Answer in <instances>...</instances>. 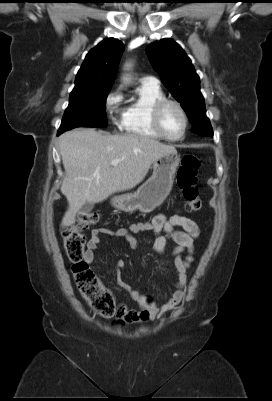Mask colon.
I'll return each mask as SVG.
<instances>
[{"mask_svg": "<svg viewBox=\"0 0 272 401\" xmlns=\"http://www.w3.org/2000/svg\"><path fill=\"white\" fill-rule=\"evenodd\" d=\"M199 167V157L194 154H188L183 157L177 171V184L185 198V207L190 212L199 211L202 206L197 188ZM99 221L100 214L97 212L80 214L64 230V249L68 259L73 264L72 272L82 296L99 315L103 317H119L122 313L121 306L116 304L113 293L101 284L84 260L86 239L83 232L98 224Z\"/></svg>", "mask_w": 272, "mask_h": 401, "instance_id": "colon-1", "label": "colon"}]
</instances>
